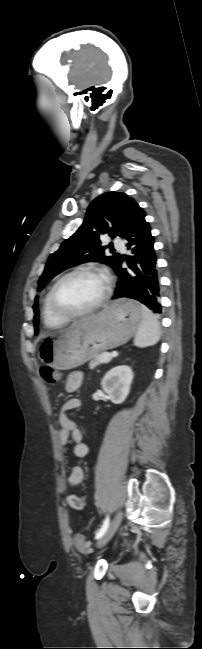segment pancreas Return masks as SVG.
Instances as JSON below:
<instances>
[{"instance_id":"cf45deb5","label":"pancreas","mask_w":202,"mask_h":649,"mask_svg":"<svg viewBox=\"0 0 202 649\" xmlns=\"http://www.w3.org/2000/svg\"><path fill=\"white\" fill-rule=\"evenodd\" d=\"M101 354H102V352L97 354L94 358H92L90 360V363H89V368L90 369H94L95 367H97L98 365L103 363L102 360H101Z\"/></svg>"}]
</instances>
